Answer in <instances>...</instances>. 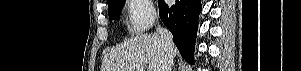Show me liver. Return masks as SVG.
Here are the masks:
<instances>
[{
  "label": "liver",
  "instance_id": "liver-1",
  "mask_svg": "<svg viewBox=\"0 0 301 71\" xmlns=\"http://www.w3.org/2000/svg\"><path fill=\"white\" fill-rule=\"evenodd\" d=\"M163 40L158 34L135 36L104 56L101 71H161ZM177 55L173 45V57Z\"/></svg>",
  "mask_w": 301,
  "mask_h": 71
}]
</instances>
